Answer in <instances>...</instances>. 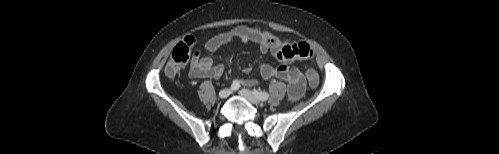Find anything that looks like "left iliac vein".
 I'll return each instance as SVG.
<instances>
[{
  "label": "left iliac vein",
  "mask_w": 499,
  "mask_h": 154,
  "mask_svg": "<svg viewBox=\"0 0 499 154\" xmlns=\"http://www.w3.org/2000/svg\"><path fill=\"white\" fill-rule=\"evenodd\" d=\"M239 94L244 97L245 99H247L249 102H251L252 104H260V100L248 89H241L239 91Z\"/></svg>",
  "instance_id": "left-iliac-vein-1"
}]
</instances>
